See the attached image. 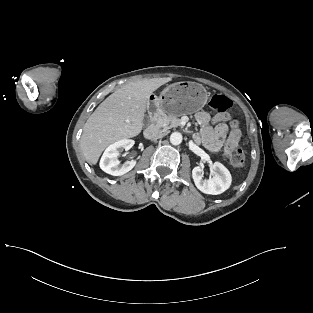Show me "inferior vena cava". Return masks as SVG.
I'll return each instance as SVG.
<instances>
[{"label": "inferior vena cava", "mask_w": 313, "mask_h": 313, "mask_svg": "<svg viewBox=\"0 0 313 313\" xmlns=\"http://www.w3.org/2000/svg\"><path fill=\"white\" fill-rule=\"evenodd\" d=\"M166 134H167L166 130L153 129V130L150 131L149 138L151 140H157L159 138H163Z\"/></svg>", "instance_id": "obj_1"}]
</instances>
